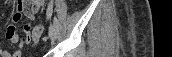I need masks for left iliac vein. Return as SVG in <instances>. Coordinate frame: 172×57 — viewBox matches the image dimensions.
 <instances>
[{
	"label": "left iliac vein",
	"instance_id": "left-iliac-vein-1",
	"mask_svg": "<svg viewBox=\"0 0 172 57\" xmlns=\"http://www.w3.org/2000/svg\"><path fill=\"white\" fill-rule=\"evenodd\" d=\"M57 33H58V27L56 25H51L49 27V37L51 40H55L57 38Z\"/></svg>",
	"mask_w": 172,
	"mask_h": 57
}]
</instances>
